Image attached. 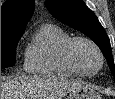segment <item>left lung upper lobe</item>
<instances>
[{"instance_id": "obj_1", "label": "left lung upper lobe", "mask_w": 115, "mask_h": 99, "mask_svg": "<svg viewBox=\"0 0 115 99\" xmlns=\"http://www.w3.org/2000/svg\"><path fill=\"white\" fill-rule=\"evenodd\" d=\"M49 12L59 21L90 37L101 49L115 77L110 40L95 14L82 0H46Z\"/></svg>"}]
</instances>
